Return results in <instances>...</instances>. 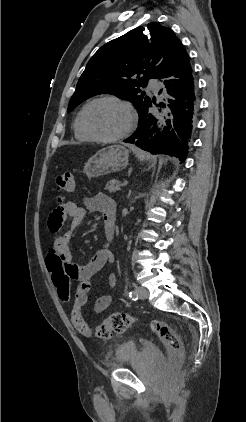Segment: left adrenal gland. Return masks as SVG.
Wrapping results in <instances>:
<instances>
[{
  "instance_id": "obj_1",
  "label": "left adrenal gland",
  "mask_w": 246,
  "mask_h": 422,
  "mask_svg": "<svg viewBox=\"0 0 246 422\" xmlns=\"http://www.w3.org/2000/svg\"><path fill=\"white\" fill-rule=\"evenodd\" d=\"M131 193H132V191H131V190H129V193H128L127 198H129V197L131 196Z\"/></svg>"
}]
</instances>
